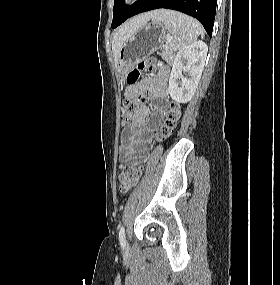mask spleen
I'll return each instance as SVG.
<instances>
[{
	"label": "spleen",
	"instance_id": "obj_1",
	"mask_svg": "<svg viewBox=\"0 0 280 285\" xmlns=\"http://www.w3.org/2000/svg\"><path fill=\"white\" fill-rule=\"evenodd\" d=\"M153 21H161L171 33L172 39L169 43L171 51H178L194 43L198 36H203L204 31L201 24L182 13L170 10H158Z\"/></svg>",
	"mask_w": 280,
	"mask_h": 285
}]
</instances>
